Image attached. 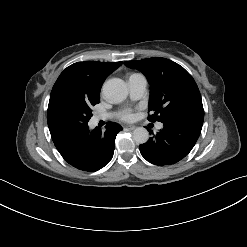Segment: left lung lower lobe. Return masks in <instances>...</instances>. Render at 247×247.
Segmentation results:
<instances>
[{
    "label": "left lung lower lobe",
    "instance_id": "left-lung-lower-lobe-1",
    "mask_svg": "<svg viewBox=\"0 0 247 247\" xmlns=\"http://www.w3.org/2000/svg\"><path fill=\"white\" fill-rule=\"evenodd\" d=\"M202 124L183 119L165 121L160 132L139 146L140 152L152 164H175L194 147Z\"/></svg>",
    "mask_w": 247,
    "mask_h": 247
}]
</instances>
